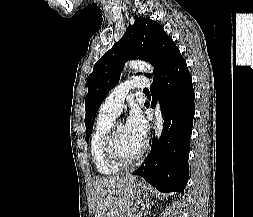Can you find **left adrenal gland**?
I'll return each mask as SVG.
<instances>
[{
    "label": "left adrenal gland",
    "mask_w": 253,
    "mask_h": 217,
    "mask_svg": "<svg viewBox=\"0 0 253 217\" xmlns=\"http://www.w3.org/2000/svg\"><path fill=\"white\" fill-rule=\"evenodd\" d=\"M150 204L149 203H146V205L143 207V209H146V213L148 214V209L150 208Z\"/></svg>",
    "instance_id": "left-adrenal-gland-1"
}]
</instances>
